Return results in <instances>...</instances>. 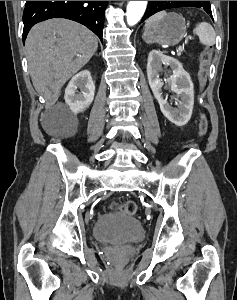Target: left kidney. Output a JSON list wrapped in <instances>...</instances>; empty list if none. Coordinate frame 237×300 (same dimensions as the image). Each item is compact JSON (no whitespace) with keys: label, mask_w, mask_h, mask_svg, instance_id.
<instances>
[{"label":"left kidney","mask_w":237,"mask_h":300,"mask_svg":"<svg viewBox=\"0 0 237 300\" xmlns=\"http://www.w3.org/2000/svg\"><path fill=\"white\" fill-rule=\"evenodd\" d=\"M162 65H167V67L172 69V75L169 77L168 85L164 89H171L173 93H176V99L177 97L179 99L178 109H173L162 95L164 83L159 77V73L163 71ZM147 77L164 117L171 123H174V125H177V127L187 125L193 113L194 85L189 73L184 71L182 63L174 59V57H167L161 51L153 49L148 55Z\"/></svg>","instance_id":"obj_1"}]
</instances>
